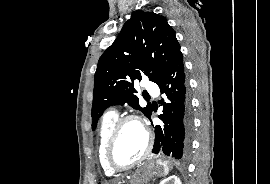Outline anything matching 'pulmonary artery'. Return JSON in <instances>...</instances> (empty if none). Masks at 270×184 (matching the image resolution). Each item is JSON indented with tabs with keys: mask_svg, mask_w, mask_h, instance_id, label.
<instances>
[{
	"mask_svg": "<svg viewBox=\"0 0 270 184\" xmlns=\"http://www.w3.org/2000/svg\"><path fill=\"white\" fill-rule=\"evenodd\" d=\"M145 89L151 93V94H157L158 93V87L155 83L147 81L145 83Z\"/></svg>",
	"mask_w": 270,
	"mask_h": 184,
	"instance_id": "1",
	"label": "pulmonary artery"
}]
</instances>
